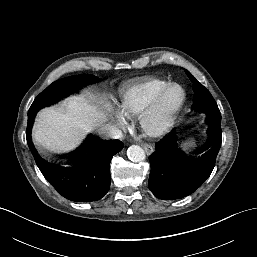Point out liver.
I'll return each instance as SVG.
<instances>
[{"mask_svg":"<svg viewBox=\"0 0 257 257\" xmlns=\"http://www.w3.org/2000/svg\"><path fill=\"white\" fill-rule=\"evenodd\" d=\"M92 98V95L71 97L60 106L41 110L33 129L35 141L55 153L73 149L102 116Z\"/></svg>","mask_w":257,"mask_h":257,"instance_id":"6515ba94","label":"liver"}]
</instances>
